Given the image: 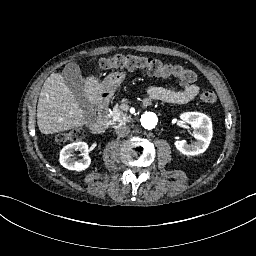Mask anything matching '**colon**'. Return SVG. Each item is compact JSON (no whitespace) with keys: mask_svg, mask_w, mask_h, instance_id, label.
Returning <instances> with one entry per match:
<instances>
[{"mask_svg":"<svg viewBox=\"0 0 256 256\" xmlns=\"http://www.w3.org/2000/svg\"><path fill=\"white\" fill-rule=\"evenodd\" d=\"M137 69H145L151 76L160 78H177L182 84L190 85L197 80V74L190 69L180 66H172L162 62L159 59L137 56V55H115L110 58H103L100 61V70L102 72H118V71H133ZM200 98L205 103H215L216 95L214 92L205 90L200 93ZM85 132L81 128H75L68 131L61 140L67 142L81 140Z\"/></svg>","mask_w":256,"mask_h":256,"instance_id":"5ec220e1","label":"colon"}]
</instances>
